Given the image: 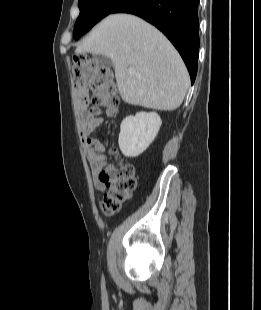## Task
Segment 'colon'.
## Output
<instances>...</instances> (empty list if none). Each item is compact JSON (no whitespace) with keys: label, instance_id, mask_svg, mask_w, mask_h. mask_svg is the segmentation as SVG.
I'll list each match as a JSON object with an SVG mask.
<instances>
[{"label":"colon","instance_id":"5ec220e1","mask_svg":"<svg viewBox=\"0 0 261 310\" xmlns=\"http://www.w3.org/2000/svg\"><path fill=\"white\" fill-rule=\"evenodd\" d=\"M72 74L79 85L93 90V96L86 101L85 106L90 107L94 113L102 110L109 117H114L119 97L110 68L100 64L91 55L77 54L73 57ZM110 152L117 154L115 148H111ZM100 180L107 189L101 202L102 211L105 215H114L129 201L136 187L134 166L127 162L110 164L101 172Z\"/></svg>","mask_w":261,"mask_h":310}]
</instances>
